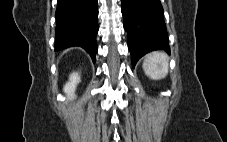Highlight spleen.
<instances>
[{
  "mask_svg": "<svg viewBox=\"0 0 227 142\" xmlns=\"http://www.w3.org/2000/svg\"><path fill=\"white\" fill-rule=\"evenodd\" d=\"M142 67L145 74L153 80L165 78L168 74V57L161 51L149 53L145 56Z\"/></svg>",
  "mask_w": 227,
  "mask_h": 142,
  "instance_id": "1",
  "label": "spleen"
}]
</instances>
